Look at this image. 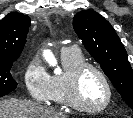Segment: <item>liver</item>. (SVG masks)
<instances>
[{"mask_svg": "<svg viewBox=\"0 0 133 118\" xmlns=\"http://www.w3.org/2000/svg\"><path fill=\"white\" fill-rule=\"evenodd\" d=\"M0 118H66V115L31 101L11 98L0 101Z\"/></svg>", "mask_w": 133, "mask_h": 118, "instance_id": "6515ba94", "label": "liver"}]
</instances>
